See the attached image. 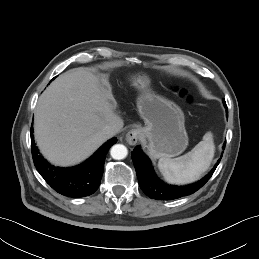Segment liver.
Returning a JSON list of instances; mask_svg holds the SVG:
<instances>
[{"label":"liver","instance_id":"6515ba94","mask_svg":"<svg viewBox=\"0 0 259 259\" xmlns=\"http://www.w3.org/2000/svg\"><path fill=\"white\" fill-rule=\"evenodd\" d=\"M107 76L75 68L56 78L40 96L34 117L35 140L47 160L59 166L78 164L107 136L103 129L124 123Z\"/></svg>","mask_w":259,"mask_h":259}]
</instances>
